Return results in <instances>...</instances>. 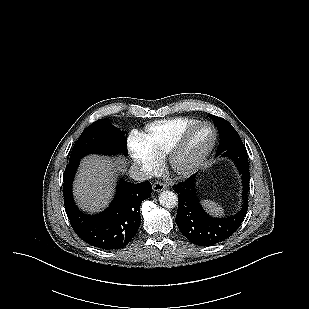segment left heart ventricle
Instances as JSON below:
<instances>
[{
  "label": "left heart ventricle",
  "instance_id": "obj_1",
  "mask_svg": "<svg viewBox=\"0 0 309 309\" xmlns=\"http://www.w3.org/2000/svg\"><path fill=\"white\" fill-rule=\"evenodd\" d=\"M211 140L212 131L206 126L198 127L191 138V142L184 159L189 160L200 154L207 148Z\"/></svg>",
  "mask_w": 309,
  "mask_h": 309
}]
</instances>
